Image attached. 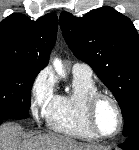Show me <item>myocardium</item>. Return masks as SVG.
<instances>
[{"mask_svg": "<svg viewBox=\"0 0 139 150\" xmlns=\"http://www.w3.org/2000/svg\"><path fill=\"white\" fill-rule=\"evenodd\" d=\"M102 100H108L109 102L112 103V105L115 108L117 117H118V127L117 130L111 134V135H105L103 134L99 129L96 124V110L99 105V103ZM86 119L88 122V125L90 129L93 131V133L98 137L102 139H112L118 136L123 128L124 124V118H123V113L121 110V107L118 103V101L110 94L108 93H103V92H97L93 94L92 96L89 97L86 103Z\"/></svg>", "mask_w": 139, "mask_h": 150, "instance_id": "myocardium-1", "label": "myocardium"}]
</instances>
